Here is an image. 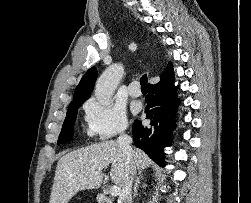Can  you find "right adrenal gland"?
<instances>
[{"instance_id": "right-adrenal-gland-1", "label": "right adrenal gland", "mask_w": 251, "mask_h": 203, "mask_svg": "<svg viewBox=\"0 0 251 203\" xmlns=\"http://www.w3.org/2000/svg\"><path fill=\"white\" fill-rule=\"evenodd\" d=\"M142 177V174L139 173L136 181H135V185H134V193H133V198H135L137 196V191H138V186H139V183H140V179ZM146 186V184L143 185V187Z\"/></svg>"}]
</instances>
